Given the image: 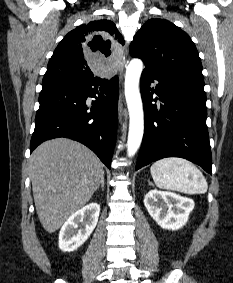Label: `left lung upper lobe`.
I'll return each mask as SVG.
<instances>
[{
	"mask_svg": "<svg viewBox=\"0 0 233 283\" xmlns=\"http://www.w3.org/2000/svg\"><path fill=\"white\" fill-rule=\"evenodd\" d=\"M132 57L156 73H181L204 79L198 51L190 37L164 19L148 20L129 48Z\"/></svg>",
	"mask_w": 233,
	"mask_h": 283,
	"instance_id": "1",
	"label": "left lung upper lobe"
}]
</instances>
